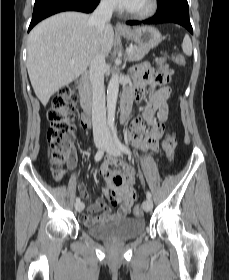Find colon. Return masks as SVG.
I'll use <instances>...</instances> for the list:
<instances>
[{
	"label": "colon",
	"instance_id": "colon-1",
	"mask_svg": "<svg viewBox=\"0 0 229 280\" xmlns=\"http://www.w3.org/2000/svg\"><path fill=\"white\" fill-rule=\"evenodd\" d=\"M167 59H171L176 64L183 66L186 63L185 56L181 53L173 54L170 58L162 60L161 65L153 70L155 81L160 84H167L171 81L172 70L167 66ZM77 98L76 89L72 86H66L59 90L52 98V106L48 112L49 127L46 138L51 148V162L57 168L56 178L63 174V166L66 163L69 154L73 151L72 133L74 124L77 120L74 114V103ZM177 147V138L174 132H169L162 141V148L165 155L172 159ZM115 184H121L124 178L120 175L114 177ZM135 197V195H134ZM117 201V195L111 193L109 202L114 204ZM137 216L143 214L141 206L134 208Z\"/></svg>",
	"mask_w": 229,
	"mask_h": 280
}]
</instances>
